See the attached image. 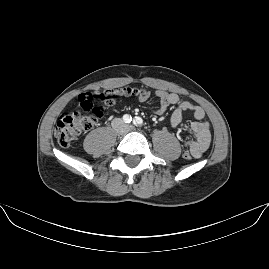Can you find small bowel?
Masks as SVG:
<instances>
[{"mask_svg": "<svg viewBox=\"0 0 269 269\" xmlns=\"http://www.w3.org/2000/svg\"><path fill=\"white\" fill-rule=\"evenodd\" d=\"M149 95L148 92L141 94L138 96V99L144 101ZM155 96L159 99V105L155 109V113L158 115L163 114L169 106L176 105L169 119L170 125L173 128L180 126L186 112L193 114L194 121L191 122L190 129L194 133L195 139L188 140L185 145L189 148L194 158L202 157L211 143L210 125L205 120L204 110L190 101H181L176 93L159 89L156 90Z\"/></svg>", "mask_w": 269, "mask_h": 269, "instance_id": "obj_1", "label": "small bowel"}]
</instances>
